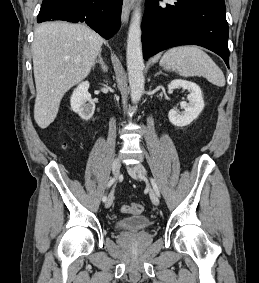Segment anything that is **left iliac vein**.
Instances as JSON below:
<instances>
[{
	"label": "left iliac vein",
	"instance_id": "4c4485c4",
	"mask_svg": "<svg viewBox=\"0 0 259 283\" xmlns=\"http://www.w3.org/2000/svg\"><path fill=\"white\" fill-rule=\"evenodd\" d=\"M127 169H128L129 174L132 177H135L136 174H138L149 185L148 178H147V171H146L145 167L142 164L137 163V164H135L133 166H128ZM149 195H150V199H151L152 203L154 205L158 206L159 203H160L159 197L156 194V192L150 186H149Z\"/></svg>",
	"mask_w": 259,
	"mask_h": 283
}]
</instances>
